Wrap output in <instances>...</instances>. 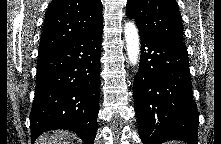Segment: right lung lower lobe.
Here are the masks:
<instances>
[{"label": "right lung lower lobe", "mask_w": 221, "mask_h": 144, "mask_svg": "<svg viewBox=\"0 0 221 144\" xmlns=\"http://www.w3.org/2000/svg\"><path fill=\"white\" fill-rule=\"evenodd\" d=\"M102 27L63 47L38 56L31 139L68 129L93 144L100 98Z\"/></svg>", "instance_id": "98d812e1"}]
</instances>
